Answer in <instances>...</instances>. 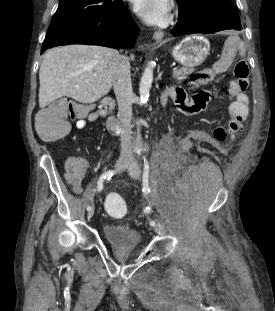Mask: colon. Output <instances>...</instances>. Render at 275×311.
<instances>
[{
	"mask_svg": "<svg viewBox=\"0 0 275 311\" xmlns=\"http://www.w3.org/2000/svg\"><path fill=\"white\" fill-rule=\"evenodd\" d=\"M234 76L241 91L248 88L249 67L245 60H238L234 65ZM227 96L231 94L227 91ZM76 113V106L71 101L59 100L45 111L40 112L36 118V127L39 135L46 140H56L67 135V119L69 114ZM228 126V125H227ZM215 132V129L214 131ZM234 134V133H232ZM106 199V209L112 216L125 213L124 201L116 196V190H109Z\"/></svg>",
	"mask_w": 275,
	"mask_h": 311,
	"instance_id": "5ec220e1",
	"label": "colon"
}]
</instances>
